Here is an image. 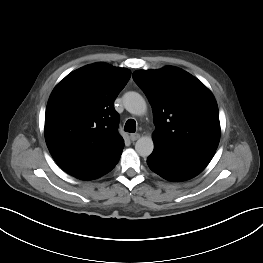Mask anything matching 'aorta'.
Segmentation results:
<instances>
[{"label": "aorta", "mask_w": 263, "mask_h": 263, "mask_svg": "<svg viewBox=\"0 0 263 263\" xmlns=\"http://www.w3.org/2000/svg\"><path fill=\"white\" fill-rule=\"evenodd\" d=\"M125 109L134 115H143L146 110V102L144 98L137 92H127L123 97ZM154 149V143L150 136L139 138L135 144L136 152L142 157L151 155Z\"/></svg>", "instance_id": "obj_1"}]
</instances>
